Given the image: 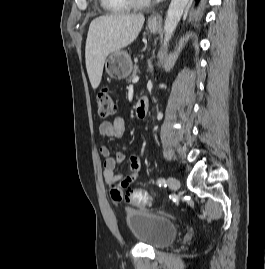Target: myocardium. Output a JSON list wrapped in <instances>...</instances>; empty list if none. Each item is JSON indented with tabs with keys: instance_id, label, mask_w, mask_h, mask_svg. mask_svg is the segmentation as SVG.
Segmentation results:
<instances>
[{
	"instance_id": "obj_1",
	"label": "myocardium",
	"mask_w": 265,
	"mask_h": 269,
	"mask_svg": "<svg viewBox=\"0 0 265 269\" xmlns=\"http://www.w3.org/2000/svg\"><path fill=\"white\" fill-rule=\"evenodd\" d=\"M131 7L144 8L152 5L157 0H126Z\"/></svg>"
}]
</instances>
